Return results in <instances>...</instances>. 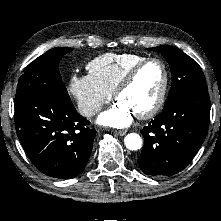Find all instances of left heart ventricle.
<instances>
[{"instance_id":"b2bd125f","label":"left heart ventricle","mask_w":221,"mask_h":221,"mask_svg":"<svg viewBox=\"0 0 221 221\" xmlns=\"http://www.w3.org/2000/svg\"><path fill=\"white\" fill-rule=\"evenodd\" d=\"M163 83V70L157 63L145 66L133 83L117 98L134 113L148 110L156 101Z\"/></svg>"}]
</instances>
